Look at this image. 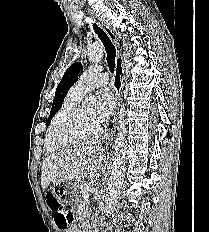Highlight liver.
<instances>
[{"mask_svg":"<svg viewBox=\"0 0 209 232\" xmlns=\"http://www.w3.org/2000/svg\"><path fill=\"white\" fill-rule=\"evenodd\" d=\"M101 141H89L67 147L49 155L42 164L41 187L44 190L56 179L80 181L88 177L96 181L104 159Z\"/></svg>","mask_w":209,"mask_h":232,"instance_id":"1","label":"liver"}]
</instances>
